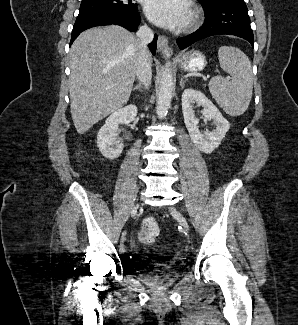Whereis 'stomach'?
Masks as SVG:
<instances>
[{"label":"stomach","instance_id":"stomach-1","mask_svg":"<svg viewBox=\"0 0 298 325\" xmlns=\"http://www.w3.org/2000/svg\"><path fill=\"white\" fill-rule=\"evenodd\" d=\"M177 62L179 68L184 70V72H200V70H204L207 58L201 50H189V52H183L177 58Z\"/></svg>","mask_w":298,"mask_h":325}]
</instances>
